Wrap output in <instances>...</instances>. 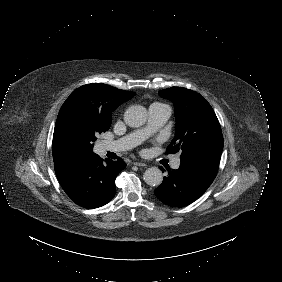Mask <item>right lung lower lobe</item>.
Masks as SVG:
<instances>
[{
	"mask_svg": "<svg viewBox=\"0 0 282 282\" xmlns=\"http://www.w3.org/2000/svg\"><path fill=\"white\" fill-rule=\"evenodd\" d=\"M125 167L120 158L103 164L95 153L68 158L54 165L66 194L76 204L88 209L101 207L114 197L116 176Z\"/></svg>",
	"mask_w": 282,
	"mask_h": 282,
	"instance_id": "right-lung-lower-lobe-1",
	"label": "right lung lower lobe"
}]
</instances>
